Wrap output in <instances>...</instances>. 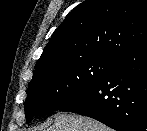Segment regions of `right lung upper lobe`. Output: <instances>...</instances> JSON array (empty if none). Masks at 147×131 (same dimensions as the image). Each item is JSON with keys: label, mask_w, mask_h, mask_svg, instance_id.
Returning a JSON list of instances; mask_svg holds the SVG:
<instances>
[{"label": "right lung upper lobe", "mask_w": 147, "mask_h": 131, "mask_svg": "<svg viewBox=\"0 0 147 131\" xmlns=\"http://www.w3.org/2000/svg\"><path fill=\"white\" fill-rule=\"evenodd\" d=\"M146 41L147 0H85L54 31L34 75L87 58L117 60Z\"/></svg>", "instance_id": "cb5924a9"}]
</instances>
